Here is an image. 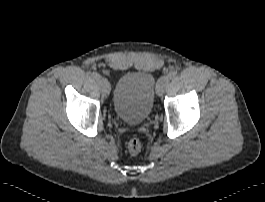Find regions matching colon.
Wrapping results in <instances>:
<instances>
[{"mask_svg":"<svg viewBox=\"0 0 265 202\" xmlns=\"http://www.w3.org/2000/svg\"><path fill=\"white\" fill-rule=\"evenodd\" d=\"M142 148L141 142L138 138H131L127 143V149L131 154H137Z\"/></svg>","mask_w":265,"mask_h":202,"instance_id":"1","label":"colon"}]
</instances>
